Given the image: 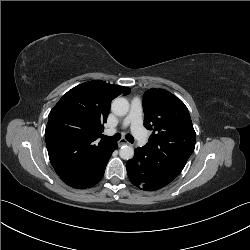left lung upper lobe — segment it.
I'll list each match as a JSON object with an SVG mask.
<instances>
[{"instance_id": "left-lung-upper-lobe-1", "label": "left lung upper lobe", "mask_w": 250, "mask_h": 250, "mask_svg": "<svg viewBox=\"0 0 250 250\" xmlns=\"http://www.w3.org/2000/svg\"><path fill=\"white\" fill-rule=\"evenodd\" d=\"M144 126L152 130L145 145L155 159H168L183 168L194 151L196 133L185 104L164 89L151 88L143 96Z\"/></svg>"}]
</instances>
